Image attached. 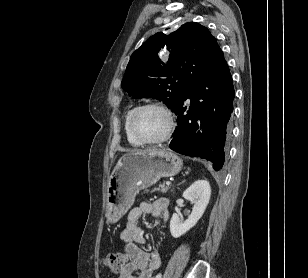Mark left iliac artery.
Wrapping results in <instances>:
<instances>
[{
	"label": "left iliac artery",
	"instance_id": "1",
	"mask_svg": "<svg viewBox=\"0 0 308 278\" xmlns=\"http://www.w3.org/2000/svg\"><path fill=\"white\" fill-rule=\"evenodd\" d=\"M156 278H161V274H158Z\"/></svg>",
	"mask_w": 308,
	"mask_h": 278
}]
</instances>
